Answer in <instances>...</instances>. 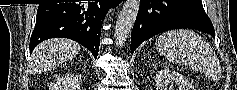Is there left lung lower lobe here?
Returning <instances> with one entry per match:
<instances>
[{"label":"left lung lower lobe","instance_id":"obj_1","mask_svg":"<svg viewBox=\"0 0 237 90\" xmlns=\"http://www.w3.org/2000/svg\"><path fill=\"white\" fill-rule=\"evenodd\" d=\"M176 28L197 29L215 36L201 0H141L131 34V52L143 41Z\"/></svg>","mask_w":237,"mask_h":90}]
</instances>
